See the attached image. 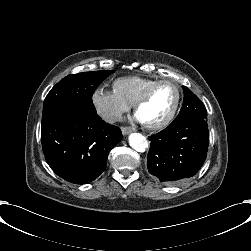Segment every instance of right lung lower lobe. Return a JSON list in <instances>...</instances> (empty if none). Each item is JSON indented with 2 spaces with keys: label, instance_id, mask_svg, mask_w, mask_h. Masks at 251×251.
<instances>
[{
  "label": "right lung lower lobe",
  "instance_id": "1",
  "mask_svg": "<svg viewBox=\"0 0 251 251\" xmlns=\"http://www.w3.org/2000/svg\"><path fill=\"white\" fill-rule=\"evenodd\" d=\"M121 139L118 127L77 106L63 107L42 120L45 159L56 175L74 184L96 179L106 168L109 151Z\"/></svg>",
  "mask_w": 251,
  "mask_h": 251
}]
</instances>
